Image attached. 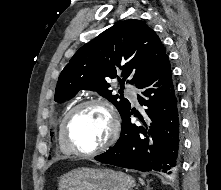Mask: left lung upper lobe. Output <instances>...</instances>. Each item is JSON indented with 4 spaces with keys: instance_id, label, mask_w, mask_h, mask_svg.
I'll use <instances>...</instances> for the list:
<instances>
[{
    "instance_id": "5c2ea615",
    "label": "left lung upper lobe",
    "mask_w": 221,
    "mask_h": 190,
    "mask_svg": "<svg viewBox=\"0 0 221 190\" xmlns=\"http://www.w3.org/2000/svg\"><path fill=\"white\" fill-rule=\"evenodd\" d=\"M166 55L157 34L143 21L119 22L75 53L59 76L54 100L64 102L80 90H93L113 103L122 118L131 105L112 95L109 81L118 79L124 86L129 79L137 86Z\"/></svg>"
}]
</instances>
